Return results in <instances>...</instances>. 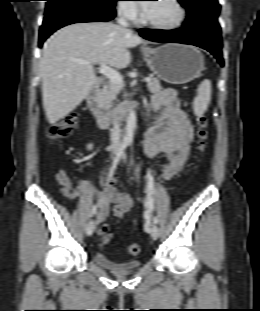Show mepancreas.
Segmentation results:
<instances>
[{
  "instance_id": "cf45deb5",
  "label": "pancreas",
  "mask_w": 260,
  "mask_h": 311,
  "mask_svg": "<svg viewBox=\"0 0 260 311\" xmlns=\"http://www.w3.org/2000/svg\"><path fill=\"white\" fill-rule=\"evenodd\" d=\"M151 81L147 84L148 90L151 93H157L162 90L160 82L155 77H150ZM122 90V86H119L112 81H109L104 85L102 91L99 94V105L104 110H109L112 106V101Z\"/></svg>"
}]
</instances>
